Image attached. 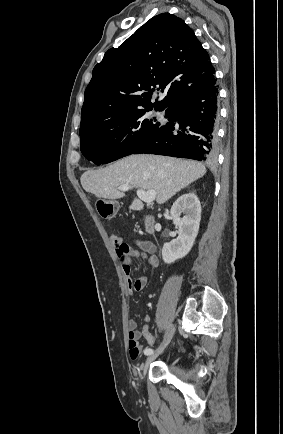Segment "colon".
<instances>
[{
  "mask_svg": "<svg viewBox=\"0 0 283 434\" xmlns=\"http://www.w3.org/2000/svg\"><path fill=\"white\" fill-rule=\"evenodd\" d=\"M97 210L104 219H112L117 213V204L110 199H100L97 202Z\"/></svg>",
  "mask_w": 283,
  "mask_h": 434,
  "instance_id": "colon-1",
  "label": "colon"
}]
</instances>
